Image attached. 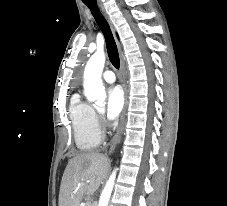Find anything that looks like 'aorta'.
Here are the masks:
<instances>
[{
    "mask_svg": "<svg viewBox=\"0 0 227 206\" xmlns=\"http://www.w3.org/2000/svg\"><path fill=\"white\" fill-rule=\"evenodd\" d=\"M105 64L103 51H96L86 64L84 70V94L88 101L103 105L106 99V92L101 79ZM117 169L110 175L99 199L98 206H108L113 191Z\"/></svg>",
    "mask_w": 227,
    "mask_h": 206,
    "instance_id": "1",
    "label": "aorta"
}]
</instances>
